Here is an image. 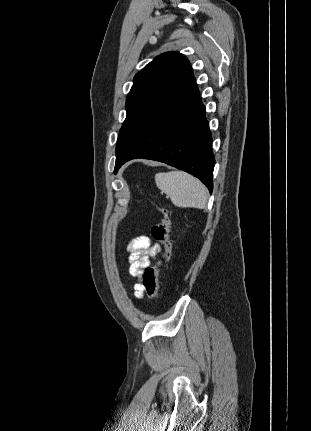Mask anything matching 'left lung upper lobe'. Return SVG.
Wrapping results in <instances>:
<instances>
[{"instance_id": "obj_1", "label": "left lung upper lobe", "mask_w": 311, "mask_h": 431, "mask_svg": "<svg viewBox=\"0 0 311 431\" xmlns=\"http://www.w3.org/2000/svg\"><path fill=\"white\" fill-rule=\"evenodd\" d=\"M193 77L188 59L178 52L157 56L135 75L126 99L127 117L118 136L116 156L130 147L153 116Z\"/></svg>"}]
</instances>
